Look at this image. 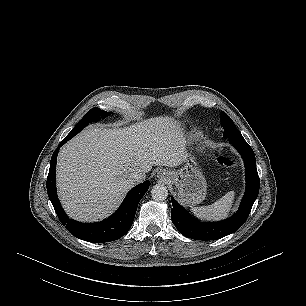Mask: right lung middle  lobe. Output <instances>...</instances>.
Segmentation results:
<instances>
[{
	"instance_id": "obj_1",
	"label": "right lung middle lobe",
	"mask_w": 306,
	"mask_h": 306,
	"mask_svg": "<svg viewBox=\"0 0 306 306\" xmlns=\"http://www.w3.org/2000/svg\"><path fill=\"white\" fill-rule=\"evenodd\" d=\"M108 115H110V112L100 110L99 108L91 109L71 130V132L67 135V137L69 138L74 137L78 132H80L86 125H88L92 121L99 119V117H106Z\"/></svg>"
}]
</instances>
